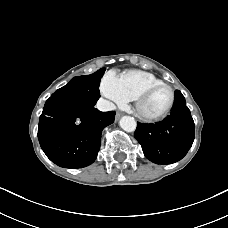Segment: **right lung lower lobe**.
I'll use <instances>...</instances> for the list:
<instances>
[{
    "mask_svg": "<svg viewBox=\"0 0 228 228\" xmlns=\"http://www.w3.org/2000/svg\"><path fill=\"white\" fill-rule=\"evenodd\" d=\"M114 117V111L101 112L94 106L49 98L39 120L40 146L60 167H86L95 161L102 130L114 122Z\"/></svg>",
    "mask_w": 228,
    "mask_h": 228,
    "instance_id": "obj_1",
    "label": "right lung lower lobe"
}]
</instances>
